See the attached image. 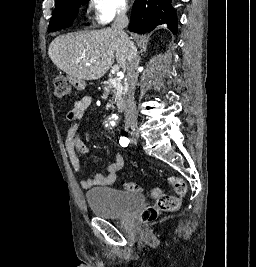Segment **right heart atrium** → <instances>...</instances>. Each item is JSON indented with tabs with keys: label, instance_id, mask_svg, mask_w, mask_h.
I'll list each match as a JSON object with an SVG mask.
<instances>
[{
	"label": "right heart atrium",
	"instance_id": "d8ad5b80",
	"mask_svg": "<svg viewBox=\"0 0 256 267\" xmlns=\"http://www.w3.org/2000/svg\"><path fill=\"white\" fill-rule=\"evenodd\" d=\"M117 15L115 16H105L104 14H102L101 12L100 13H96L95 15V19H94V22H112L115 18H116Z\"/></svg>",
	"mask_w": 256,
	"mask_h": 267
}]
</instances>
